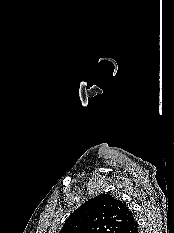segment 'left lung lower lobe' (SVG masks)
I'll return each instance as SVG.
<instances>
[{
    "label": "left lung lower lobe",
    "mask_w": 174,
    "mask_h": 233,
    "mask_svg": "<svg viewBox=\"0 0 174 233\" xmlns=\"http://www.w3.org/2000/svg\"><path fill=\"white\" fill-rule=\"evenodd\" d=\"M121 233H138V224L134 220Z\"/></svg>",
    "instance_id": "0a47b994"
}]
</instances>
